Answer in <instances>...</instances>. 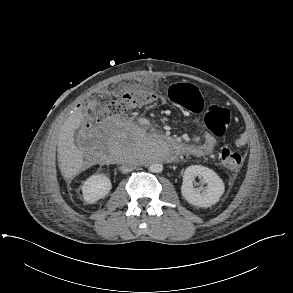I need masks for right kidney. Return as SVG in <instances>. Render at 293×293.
Segmentation results:
<instances>
[{"label": "right kidney", "instance_id": "right-kidney-1", "mask_svg": "<svg viewBox=\"0 0 293 293\" xmlns=\"http://www.w3.org/2000/svg\"><path fill=\"white\" fill-rule=\"evenodd\" d=\"M112 188L111 181L102 174L90 176L82 186L83 199L89 204H93L98 200L107 196Z\"/></svg>", "mask_w": 293, "mask_h": 293}]
</instances>
